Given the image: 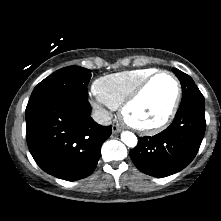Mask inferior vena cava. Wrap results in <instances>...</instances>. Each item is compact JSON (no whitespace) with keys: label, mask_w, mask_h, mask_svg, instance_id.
<instances>
[{"label":"inferior vena cava","mask_w":221,"mask_h":221,"mask_svg":"<svg viewBox=\"0 0 221 221\" xmlns=\"http://www.w3.org/2000/svg\"><path fill=\"white\" fill-rule=\"evenodd\" d=\"M92 118L99 124L108 126L111 124V117L104 111H95L92 114Z\"/></svg>","instance_id":"obj_1"}]
</instances>
